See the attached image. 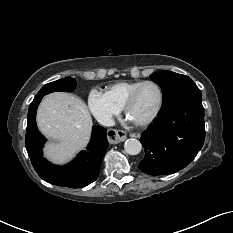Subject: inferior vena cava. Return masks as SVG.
Returning <instances> with one entry per match:
<instances>
[{
  "instance_id": "inferior-vena-cava-1",
  "label": "inferior vena cava",
  "mask_w": 233,
  "mask_h": 233,
  "mask_svg": "<svg viewBox=\"0 0 233 233\" xmlns=\"http://www.w3.org/2000/svg\"><path fill=\"white\" fill-rule=\"evenodd\" d=\"M99 123L104 125V126H113L115 124L114 120L108 115L102 116L99 119Z\"/></svg>"
}]
</instances>
